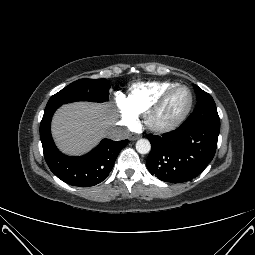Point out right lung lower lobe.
I'll return each instance as SVG.
<instances>
[{
    "label": "right lung lower lobe",
    "mask_w": 255,
    "mask_h": 255,
    "mask_svg": "<svg viewBox=\"0 0 255 255\" xmlns=\"http://www.w3.org/2000/svg\"><path fill=\"white\" fill-rule=\"evenodd\" d=\"M58 107L45 108L40 124L43 152L50 170L72 186L89 187L100 183L109 175L119 152L127 145L128 140L104 139L88 154L68 157L56 148L51 136L50 123Z\"/></svg>",
    "instance_id": "98d812e1"
}]
</instances>
